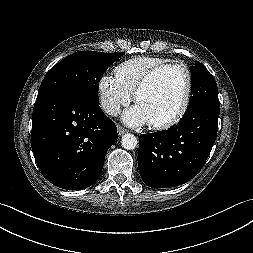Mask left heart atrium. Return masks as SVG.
<instances>
[{"label":"left heart atrium","instance_id":"1","mask_svg":"<svg viewBox=\"0 0 253 253\" xmlns=\"http://www.w3.org/2000/svg\"><path fill=\"white\" fill-rule=\"evenodd\" d=\"M123 121L129 126H141L148 123V117L139 105H134L123 115Z\"/></svg>","mask_w":253,"mask_h":253}]
</instances>
